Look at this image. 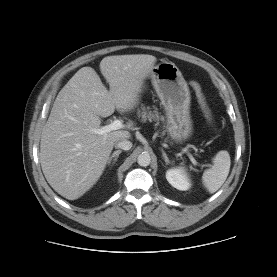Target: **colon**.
Instances as JSON below:
<instances>
[{
    "mask_svg": "<svg viewBox=\"0 0 277 277\" xmlns=\"http://www.w3.org/2000/svg\"><path fill=\"white\" fill-rule=\"evenodd\" d=\"M191 86L193 87V89L196 92L198 101L201 105V108L204 112V115L206 117V119L209 121V123H213V116H212V112L207 104L206 98L202 92L201 86L197 83V82H191Z\"/></svg>",
    "mask_w": 277,
    "mask_h": 277,
    "instance_id": "colon-1",
    "label": "colon"
}]
</instances>
